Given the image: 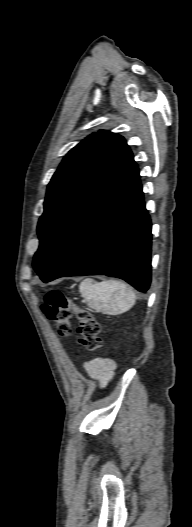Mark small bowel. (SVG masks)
<instances>
[{"label":"small bowel","instance_id":"1","mask_svg":"<svg viewBox=\"0 0 192 527\" xmlns=\"http://www.w3.org/2000/svg\"><path fill=\"white\" fill-rule=\"evenodd\" d=\"M83 367L90 377L104 386L114 373L115 363L111 359L97 358L85 362Z\"/></svg>","mask_w":192,"mask_h":527}]
</instances>
